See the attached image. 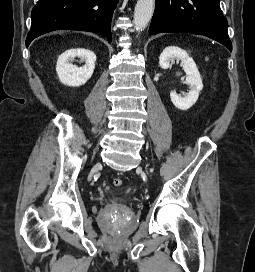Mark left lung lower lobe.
<instances>
[{"instance_id": "left-lung-lower-lobe-1", "label": "left lung lower lobe", "mask_w": 255, "mask_h": 272, "mask_svg": "<svg viewBox=\"0 0 255 272\" xmlns=\"http://www.w3.org/2000/svg\"><path fill=\"white\" fill-rule=\"evenodd\" d=\"M220 0H156L150 34L182 32L212 38L232 51Z\"/></svg>"}]
</instances>
